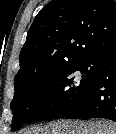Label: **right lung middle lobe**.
<instances>
[{
    "label": "right lung middle lobe",
    "mask_w": 116,
    "mask_h": 134,
    "mask_svg": "<svg viewBox=\"0 0 116 134\" xmlns=\"http://www.w3.org/2000/svg\"><path fill=\"white\" fill-rule=\"evenodd\" d=\"M96 71L94 62H78L22 89L11 102V129L62 115L81 98Z\"/></svg>",
    "instance_id": "right-lung-middle-lobe-1"
}]
</instances>
